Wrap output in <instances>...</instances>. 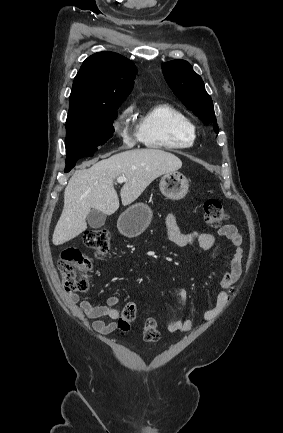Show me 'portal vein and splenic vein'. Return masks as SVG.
<instances>
[{"instance_id": "1", "label": "portal vein and splenic vein", "mask_w": 283, "mask_h": 433, "mask_svg": "<svg viewBox=\"0 0 283 433\" xmlns=\"http://www.w3.org/2000/svg\"><path fill=\"white\" fill-rule=\"evenodd\" d=\"M127 180L126 176H118L117 182H125Z\"/></svg>"}]
</instances>
